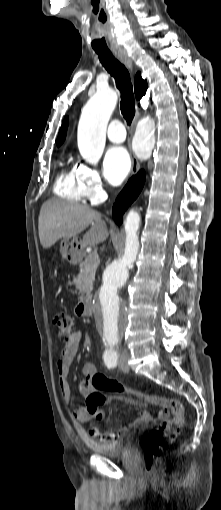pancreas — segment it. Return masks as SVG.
I'll use <instances>...</instances> for the list:
<instances>
[{
    "mask_svg": "<svg viewBox=\"0 0 221 510\" xmlns=\"http://www.w3.org/2000/svg\"><path fill=\"white\" fill-rule=\"evenodd\" d=\"M98 267V261L90 258V254L80 263V273L74 279L76 288L81 293V297H86L90 293V288L95 280V273Z\"/></svg>",
    "mask_w": 221,
    "mask_h": 510,
    "instance_id": "obj_1",
    "label": "pancreas"
}]
</instances>
